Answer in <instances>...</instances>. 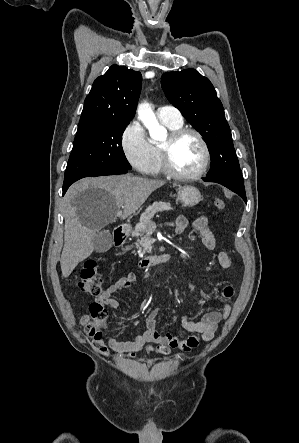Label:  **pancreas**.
Instances as JSON below:
<instances>
[{"label": "pancreas", "mask_w": 299, "mask_h": 443, "mask_svg": "<svg viewBox=\"0 0 299 443\" xmlns=\"http://www.w3.org/2000/svg\"><path fill=\"white\" fill-rule=\"evenodd\" d=\"M170 203L159 201L154 202L151 206H149L145 212L140 216L139 223L136 224L134 230L132 231V237H141V240H138L136 244L139 248V252L145 253L147 252L146 241L142 237L144 232L151 222V219L157 212L172 210Z\"/></svg>", "instance_id": "1"}]
</instances>
